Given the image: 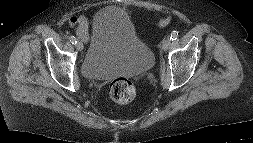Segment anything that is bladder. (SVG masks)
Here are the masks:
<instances>
[{
  "instance_id": "obj_1",
  "label": "bladder",
  "mask_w": 253,
  "mask_h": 143,
  "mask_svg": "<svg viewBox=\"0 0 253 143\" xmlns=\"http://www.w3.org/2000/svg\"><path fill=\"white\" fill-rule=\"evenodd\" d=\"M156 64L152 48L138 37L128 12L111 5L96 13L81 67L85 77L108 80L138 76Z\"/></svg>"
}]
</instances>
